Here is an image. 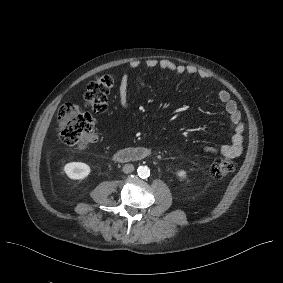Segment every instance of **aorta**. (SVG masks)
I'll return each instance as SVG.
<instances>
[{"label": "aorta", "instance_id": "aorta-1", "mask_svg": "<svg viewBox=\"0 0 283 283\" xmlns=\"http://www.w3.org/2000/svg\"><path fill=\"white\" fill-rule=\"evenodd\" d=\"M138 176L141 178H147L150 176V169L147 166H140L137 169Z\"/></svg>", "mask_w": 283, "mask_h": 283}]
</instances>
